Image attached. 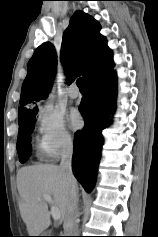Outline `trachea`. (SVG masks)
I'll return each mask as SVG.
<instances>
[{"label":"trachea","instance_id":"3493384b","mask_svg":"<svg viewBox=\"0 0 158 237\" xmlns=\"http://www.w3.org/2000/svg\"><path fill=\"white\" fill-rule=\"evenodd\" d=\"M78 88L80 89V91H85L86 87H85V78H79L76 82Z\"/></svg>","mask_w":158,"mask_h":237}]
</instances>
